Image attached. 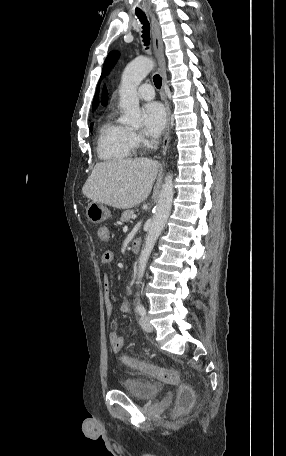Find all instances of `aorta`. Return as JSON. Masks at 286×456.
<instances>
[{"mask_svg": "<svg viewBox=\"0 0 286 456\" xmlns=\"http://www.w3.org/2000/svg\"><path fill=\"white\" fill-rule=\"evenodd\" d=\"M153 67L154 62L146 57L136 58L126 66L120 85V106L124 110L123 123L135 127L141 125L142 120L137 88ZM173 195V175L169 173L162 185L151 226L138 259L137 284L140 283L144 275L150 254L167 222L172 208Z\"/></svg>", "mask_w": 286, "mask_h": 456, "instance_id": "1", "label": "aorta"}]
</instances>
